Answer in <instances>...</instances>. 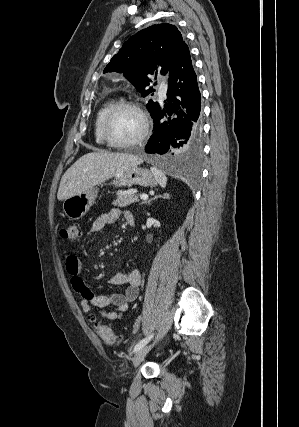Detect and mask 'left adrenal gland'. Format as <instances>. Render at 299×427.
Returning a JSON list of instances; mask_svg holds the SVG:
<instances>
[{"mask_svg": "<svg viewBox=\"0 0 299 427\" xmlns=\"http://www.w3.org/2000/svg\"><path fill=\"white\" fill-rule=\"evenodd\" d=\"M157 198H165V199H169V194L168 193H164L163 195H157L154 196L153 198H151L150 200H148L147 202H143L142 204H150L151 201L156 200Z\"/></svg>", "mask_w": 299, "mask_h": 427, "instance_id": "1", "label": "left adrenal gland"}]
</instances>
